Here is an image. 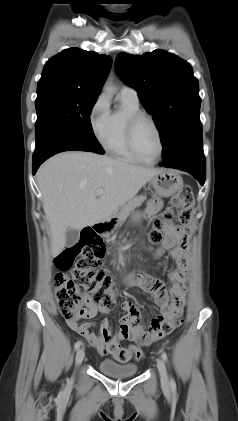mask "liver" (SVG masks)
Here are the masks:
<instances>
[{"label":"liver","mask_w":238,"mask_h":421,"mask_svg":"<svg viewBox=\"0 0 238 421\" xmlns=\"http://www.w3.org/2000/svg\"><path fill=\"white\" fill-rule=\"evenodd\" d=\"M162 170L81 151L63 152L44 162L37 182L50 224L52 255L66 246L68 228L80 230L108 221ZM99 189L101 196L96 194Z\"/></svg>","instance_id":"liver-1"}]
</instances>
